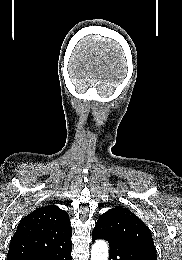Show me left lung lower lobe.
Segmentation results:
<instances>
[{"label":"left lung lower lobe","instance_id":"obj_1","mask_svg":"<svg viewBox=\"0 0 182 260\" xmlns=\"http://www.w3.org/2000/svg\"><path fill=\"white\" fill-rule=\"evenodd\" d=\"M97 239L108 241L110 246L109 260H157V256H153L146 251L129 247L101 233L92 232V241L94 242Z\"/></svg>","mask_w":182,"mask_h":260}]
</instances>
